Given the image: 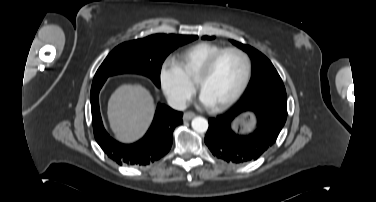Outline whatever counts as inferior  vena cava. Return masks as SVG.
I'll return each instance as SVG.
<instances>
[{
  "label": "inferior vena cava",
  "instance_id": "obj_1",
  "mask_svg": "<svg viewBox=\"0 0 376 202\" xmlns=\"http://www.w3.org/2000/svg\"><path fill=\"white\" fill-rule=\"evenodd\" d=\"M167 102L175 110L183 111L187 108L186 99L181 96H169Z\"/></svg>",
  "mask_w": 376,
  "mask_h": 202
}]
</instances>
